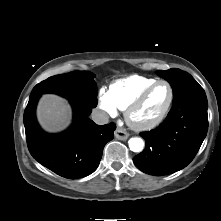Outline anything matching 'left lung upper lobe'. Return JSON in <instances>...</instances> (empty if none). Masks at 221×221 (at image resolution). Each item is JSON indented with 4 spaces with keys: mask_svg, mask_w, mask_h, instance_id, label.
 <instances>
[{
    "mask_svg": "<svg viewBox=\"0 0 221 221\" xmlns=\"http://www.w3.org/2000/svg\"><path fill=\"white\" fill-rule=\"evenodd\" d=\"M158 75L170 83L173 89V100L185 93L202 88L191 75L177 68L158 70Z\"/></svg>",
    "mask_w": 221,
    "mask_h": 221,
    "instance_id": "obj_1",
    "label": "left lung upper lobe"
}]
</instances>
